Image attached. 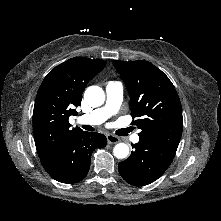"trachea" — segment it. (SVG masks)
I'll use <instances>...</instances> for the list:
<instances>
[{"mask_svg":"<svg viewBox=\"0 0 221 221\" xmlns=\"http://www.w3.org/2000/svg\"><path fill=\"white\" fill-rule=\"evenodd\" d=\"M82 128H84L85 130H88V131H93L94 128L92 126H89V125H83Z\"/></svg>","mask_w":221,"mask_h":221,"instance_id":"obj_1","label":"trachea"}]
</instances>
